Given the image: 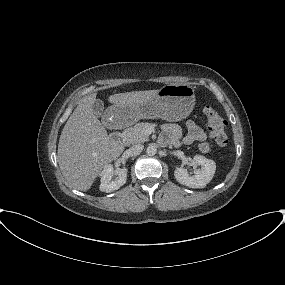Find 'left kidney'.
I'll return each instance as SVG.
<instances>
[{"instance_id": "left-kidney-1", "label": "left kidney", "mask_w": 285, "mask_h": 285, "mask_svg": "<svg viewBox=\"0 0 285 285\" xmlns=\"http://www.w3.org/2000/svg\"><path fill=\"white\" fill-rule=\"evenodd\" d=\"M193 163L195 165H201V169H196L194 174H189L185 168L176 167L174 176L182 185L190 188H204L215 174L216 163L202 155H195Z\"/></svg>"}]
</instances>
